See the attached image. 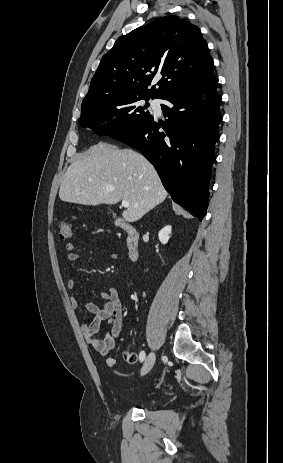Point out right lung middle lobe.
<instances>
[{
    "mask_svg": "<svg viewBox=\"0 0 283 463\" xmlns=\"http://www.w3.org/2000/svg\"><path fill=\"white\" fill-rule=\"evenodd\" d=\"M145 96L112 95L82 105L79 123L99 135L114 137L130 132L149 120L148 104L141 106Z\"/></svg>",
    "mask_w": 283,
    "mask_h": 463,
    "instance_id": "1",
    "label": "right lung middle lobe"
}]
</instances>
